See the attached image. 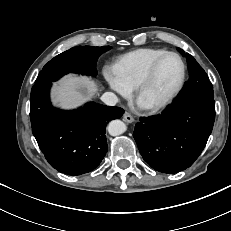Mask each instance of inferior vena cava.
Returning a JSON list of instances; mask_svg holds the SVG:
<instances>
[{"mask_svg": "<svg viewBox=\"0 0 231 231\" xmlns=\"http://www.w3.org/2000/svg\"><path fill=\"white\" fill-rule=\"evenodd\" d=\"M101 100L108 106H114L118 103L117 96L112 92H105L101 96Z\"/></svg>", "mask_w": 231, "mask_h": 231, "instance_id": "1", "label": "inferior vena cava"}]
</instances>
